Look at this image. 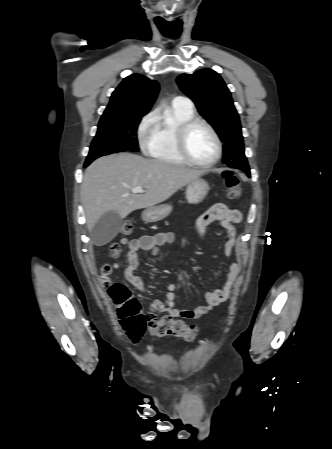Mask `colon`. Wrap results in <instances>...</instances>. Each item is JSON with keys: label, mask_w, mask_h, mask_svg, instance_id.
I'll return each mask as SVG.
<instances>
[{"label": "colon", "mask_w": 332, "mask_h": 449, "mask_svg": "<svg viewBox=\"0 0 332 449\" xmlns=\"http://www.w3.org/2000/svg\"><path fill=\"white\" fill-rule=\"evenodd\" d=\"M223 181L228 191L230 199H236L240 196V180L234 171L226 169L223 171ZM134 226L130 221H126L122 225V233L131 235ZM122 242L112 243L107 251L109 258H117L122 252ZM109 294L112 297L124 330L130 339L137 342L143 335L146 327L150 334L156 337L174 336L180 337L187 341H193L197 337V327L187 325L182 320L175 319L171 316H163L161 318H153L146 320L141 311L140 304L132 293L130 288L122 283H115L109 286Z\"/></svg>", "instance_id": "colon-1"}]
</instances>
